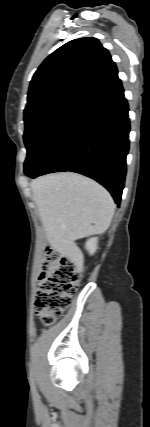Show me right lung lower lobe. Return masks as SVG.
I'll return each mask as SVG.
<instances>
[{
    "label": "right lung lower lobe",
    "instance_id": "1",
    "mask_svg": "<svg viewBox=\"0 0 150 427\" xmlns=\"http://www.w3.org/2000/svg\"><path fill=\"white\" fill-rule=\"evenodd\" d=\"M128 110L121 81L93 97L79 108L29 177L80 173L102 184L119 204L129 150Z\"/></svg>",
    "mask_w": 150,
    "mask_h": 427
}]
</instances>
